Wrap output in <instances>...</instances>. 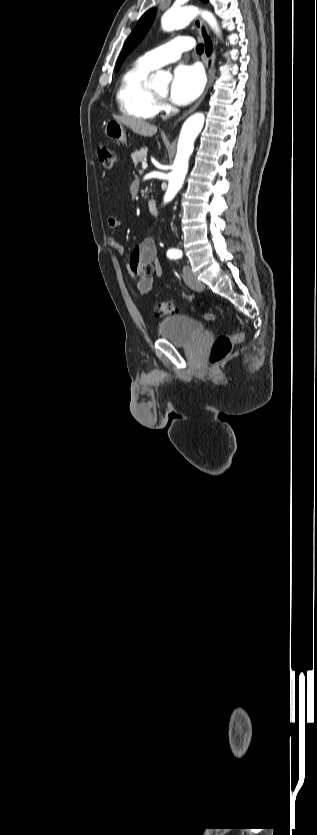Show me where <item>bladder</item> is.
Masks as SVG:
<instances>
[{
    "label": "bladder",
    "instance_id": "obj_1",
    "mask_svg": "<svg viewBox=\"0 0 317 835\" xmlns=\"http://www.w3.org/2000/svg\"><path fill=\"white\" fill-rule=\"evenodd\" d=\"M205 326L186 315H169L158 324V335L176 345L186 346L203 336Z\"/></svg>",
    "mask_w": 317,
    "mask_h": 835
}]
</instances>
